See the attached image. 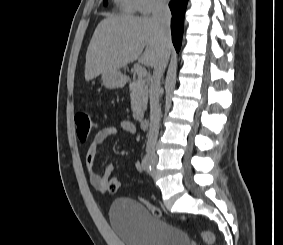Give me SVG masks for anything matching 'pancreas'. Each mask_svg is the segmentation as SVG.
<instances>
[{"label": "pancreas", "instance_id": "1", "mask_svg": "<svg viewBox=\"0 0 283 245\" xmlns=\"http://www.w3.org/2000/svg\"><path fill=\"white\" fill-rule=\"evenodd\" d=\"M131 97V109L133 117L136 120H141L147 108L148 102V85L145 79L137 78L129 85Z\"/></svg>", "mask_w": 283, "mask_h": 245}]
</instances>
